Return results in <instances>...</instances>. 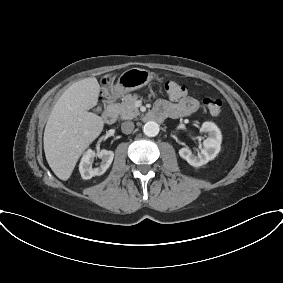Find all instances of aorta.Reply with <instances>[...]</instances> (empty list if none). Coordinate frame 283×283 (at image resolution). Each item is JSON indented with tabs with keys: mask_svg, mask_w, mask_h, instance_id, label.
I'll return each mask as SVG.
<instances>
[{
	"mask_svg": "<svg viewBox=\"0 0 283 283\" xmlns=\"http://www.w3.org/2000/svg\"><path fill=\"white\" fill-rule=\"evenodd\" d=\"M143 132L149 137H155L159 133V125L155 121H148L143 127Z\"/></svg>",
	"mask_w": 283,
	"mask_h": 283,
	"instance_id": "762f6f07",
	"label": "aorta"
}]
</instances>
